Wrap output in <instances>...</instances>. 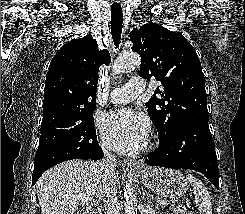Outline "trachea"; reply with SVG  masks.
I'll return each mask as SVG.
<instances>
[{
  "label": "trachea",
  "instance_id": "3493384b",
  "mask_svg": "<svg viewBox=\"0 0 245 214\" xmlns=\"http://www.w3.org/2000/svg\"><path fill=\"white\" fill-rule=\"evenodd\" d=\"M123 13L120 4H112L111 6V31L112 38L116 48L120 44L122 33Z\"/></svg>",
  "mask_w": 245,
  "mask_h": 214
}]
</instances>
